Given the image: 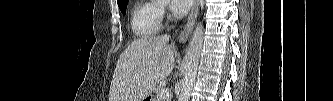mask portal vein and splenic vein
I'll use <instances>...</instances> for the list:
<instances>
[{
  "label": "portal vein and splenic vein",
  "instance_id": "1",
  "mask_svg": "<svg viewBox=\"0 0 333 101\" xmlns=\"http://www.w3.org/2000/svg\"><path fill=\"white\" fill-rule=\"evenodd\" d=\"M169 96V90L167 88H163L160 90V97L162 99L166 98Z\"/></svg>",
  "mask_w": 333,
  "mask_h": 101
}]
</instances>
